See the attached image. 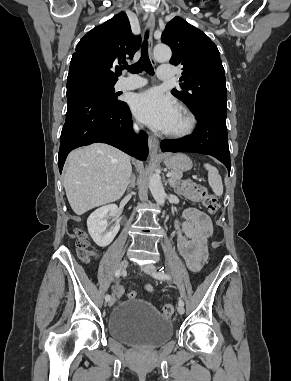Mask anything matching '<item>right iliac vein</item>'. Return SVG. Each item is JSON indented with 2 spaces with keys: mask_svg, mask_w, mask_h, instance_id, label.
<instances>
[{
  "mask_svg": "<svg viewBox=\"0 0 291 381\" xmlns=\"http://www.w3.org/2000/svg\"><path fill=\"white\" fill-rule=\"evenodd\" d=\"M128 265H129V262H128L127 260H123V261L119 264V269H120L121 271H125V270L127 269ZM114 302H115V297L113 296V297H111L110 300L108 301V305H109V306H112V305L114 304Z\"/></svg>",
  "mask_w": 291,
  "mask_h": 381,
  "instance_id": "63e3f726",
  "label": "right iliac vein"
}]
</instances>
